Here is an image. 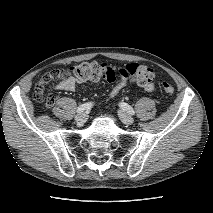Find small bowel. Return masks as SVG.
<instances>
[{
	"instance_id": "obj_1",
	"label": "small bowel",
	"mask_w": 213,
	"mask_h": 213,
	"mask_svg": "<svg viewBox=\"0 0 213 213\" xmlns=\"http://www.w3.org/2000/svg\"><path fill=\"white\" fill-rule=\"evenodd\" d=\"M58 79L59 80L54 84L55 89L68 92H72L76 89L77 81L73 76H70L66 73H62ZM123 87L124 85H122L121 90L123 89ZM114 89L115 87L112 90ZM153 89L154 86L146 88L147 91H152Z\"/></svg>"
}]
</instances>
